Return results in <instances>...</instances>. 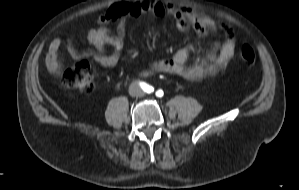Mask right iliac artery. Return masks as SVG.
<instances>
[{
  "label": "right iliac artery",
  "instance_id": "82829eb1",
  "mask_svg": "<svg viewBox=\"0 0 299 190\" xmlns=\"http://www.w3.org/2000/svg\"><path fill=\"white\" fill-rule=\"evenodd\" d=\"M140 85H141L142 89L147 93H151L154 91V88L145 82H140Z\"/></svg>",
  "mask_w": 299,
  "mask_h": 190
}]
</instances>
